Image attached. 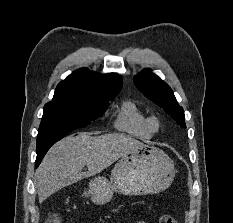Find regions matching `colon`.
Wrapping results in <instances>:
<instances>
[{"instance_id": "obj_1", "label": "colon", "mask_w": 233, "mask_h": 223, "mask_svg": "<svg viewBox=\"0 0 233 223\" xmlns=\"http://www.w3.org/2000/svg\"><path fill=\"white\" fill-rule=\"evenodd\" d=\"M46 223H61L60 216L56 213L49 215ZM160 223H177L175 218L171 215H163L160 218Z\"/></svg>"}]
</instances>
